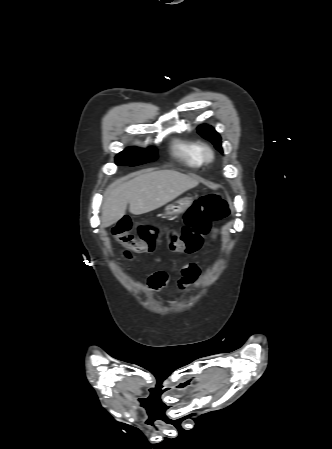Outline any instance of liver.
<instances>
[{
    "label": "liver",
    "mask_w": 332,
    "mask_h": 449,
    "mask_svg": "<svg viewBox=\"0 0 332 449\" xmlns=\"http://www.w3.org/2000/svg\"><path fill=\"white\" fill-rule=\"evenodd\" d=\"M199 181L173 170L141 174L134 179L114 182L106 191L102 205V227L118 222L127 204L134 215L153 211L198 185Z\"/></svg>",
    "instance_id": "liver-1"
}]
</instances>
